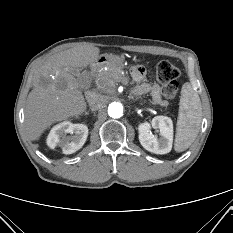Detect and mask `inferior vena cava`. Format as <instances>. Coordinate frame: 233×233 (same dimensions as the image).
<instances>
[{
    "label": "inferior vena cava",
    "instance_id": "602c4592",
    "mask_svg": "<svg viewBox=\"0 0 233 233\" xmlns=\"http://www.w3.org/2000/svg\"><path fill=\"white\" fill-rule=\"evenodd\" d=\"M86 99H87L89 105L93 107L98 103V101L100 99V95L95 93V92L89 91L86 93Z\"/></svg>",
    "mask_w": 233,
    "mask_h": 233
}]
</instances>
